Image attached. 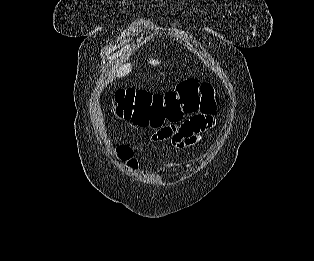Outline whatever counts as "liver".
Returning a JSON list of instances; mask_svg holds the SVG:
<instances>
[{
    "mask_svg": "<svg viewBox=\"0 0 314 261\" xmlns=\"http://www.w3.org/2000/svg\"><path fill=\"white\" fill-rule=\"evenodd\" d=\"M149 63L152 65H158L159 61L155 59H150ZM131 70H132V66L129 63L124 64L119 68V70H117V76H120V77L126 76L131 72Z\"/></svg>",
    "mask_w": 314,
    "mask_h": 261,
    "instance_id": "1",
    "label": "liver"
}]
</instances>
